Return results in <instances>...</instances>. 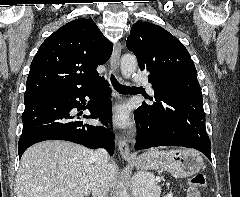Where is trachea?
<instances>
[{
    "label": "trachea",
    "mask_w": 240,
    "mask_h": 197,
    "mask_svg": "<svg viewBox=\"0 0 240 197\" xmlns=\"http://www.w3.org/2000/svg\"><path fill=\"white\" fill-rule=\"evenodd\" d=\"M111 83L115 88V90H117L119 93H124L128 90H132L135 88V87H128V86L121 85L113 75H111Z\"/></svg>",
    "instance_id": "obj_1"
}]
</instances>
